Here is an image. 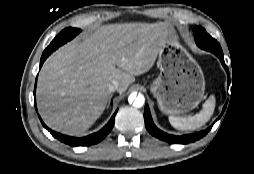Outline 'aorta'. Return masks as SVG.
<instances>
[{"instance_id":"1","label":"aorta","mask_w":254,"mask_h":174,"mask_svg":"<svg viewBox=\"0 0 254 174\" xmlns=\"http://www.w3.org/2000/svg\"><path fill=\"white\" fill-rule=\"evenodd\" d=\"M129 103L133 104L134 107L140 108L145 103V98L142 94L132 93L128 98Z\"/></svg>"}]
</instances>
